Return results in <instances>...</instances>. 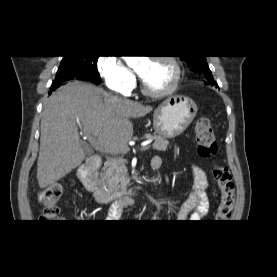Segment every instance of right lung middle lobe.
<instances>
[{
    "mask_svg": "<svg viewBox=\"0 0 277 277\" xmlns=\"http://www.w3.org/2000/svg\"><path fill=\"white\" fill-rule=\"evenodd\" d=\"M98 56H63L57 74L73 72L76 75H85L93 81H98L97 71Z\"/></svg>",
    "mask_w": 277,
    "mask_h": 277,
    "instance_id": "dd1d6c3e",
    "label": "right lung middle lobe"
}]
</instances>
